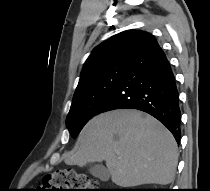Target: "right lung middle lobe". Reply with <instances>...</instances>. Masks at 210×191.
I'll use <instances>...</instances> for the list:
<instances>
[{"instance_id": "dd1d6c3e", "label": "right lung middle lobe", "mask_w": 210, "mask_h": 191, "mask_svg": "<svg viewBox=\"0 0 210 191\" xmlns=\"http://www.w3.org/2000/svg\"><path fill=\"white\" fill-rule=\"evenodd\" d=\"M130 60L118 59L95 70L75 91L66 125L76 137L95 115L124 74Z\"/></svg>"}]
</instances>
